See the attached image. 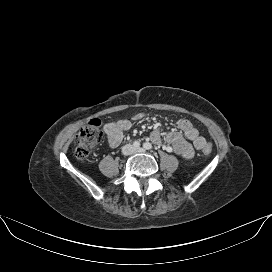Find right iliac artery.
<instances>
[{
	"instance_id": "82829eb1",
	"label": "right iliac artery",
	"mask_w": 272,
	"mask_h": 272,
	"mask_svg": "<svg viewBox=\"0 0 272 272\" xmlns=\"http://www.w3.org/2000/svg\"><path fill=\"white\" fill-rule=\"evenodd\" d=\"M133 146L136 147V148L139 147V146H140V142L135 141V142L133 143Z\"/></svg>"
}]
</instances>
